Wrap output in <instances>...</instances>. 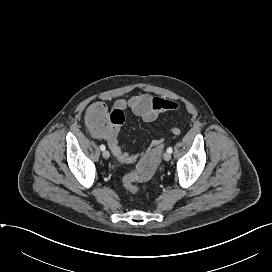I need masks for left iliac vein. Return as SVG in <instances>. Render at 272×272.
Instances as JSON below:
<instances>
[{"mask_svg": "<svg viewBox=\"0 0 272 272\" xmlns=\"http://www.w3.org/2000/svg\"><path fill=\"white\" fill-rule=\"evenodd\" d=\"M163 158L165 161H169L171 159V153L165 152Z\"/></svg>", "mask_w": 272, "mask_h": 272, "instance_id": "4c4485c4", "label": "left iliac vein"}]
</instances>
